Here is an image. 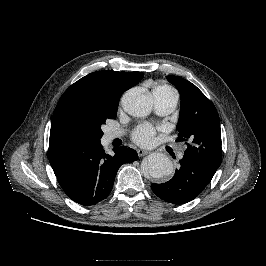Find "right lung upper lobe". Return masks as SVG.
<instances>
[{
    "label": "right lung upper lobe",
    "instance_id": "1",
    "mask_svg": "<svg viewBox=\"0 0 266 266\" xmlns=\"http://www.w3.org/2000/svg\"><path fill=\"white\" fill-rule=\"evenodd\" d=\"M143 76L141 72L96 71L69 86L54 110L50 141L63 139L57 131V123L68 107L118 106L122 93L138 84Z\"/></svg>",
    "mask_w": 266,
    "mask_h": 266
}]
</instances>
